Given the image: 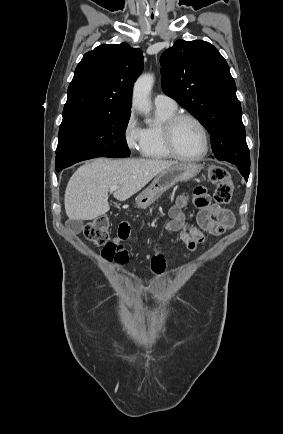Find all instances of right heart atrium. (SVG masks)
<instances>
[{
    "label": "right heart atrium",
    "instance_id": "obj_1",
    "mask_svg": "<svg viewBox=\"0 0 283 434\" xmlns=\"http://www.w3.org/2000/svg\"><path fill=\"white\" fill-rule=\"evenodd\" d=\"M123 139L130 151L141 149L143 142V128L138 123L134 111H131L123 127Z\"/></svg>",
    "mask_w": 283,
    "mask_h": 434
}]
</instances>
